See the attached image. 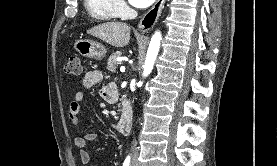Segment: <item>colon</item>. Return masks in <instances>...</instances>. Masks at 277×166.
<instances>
[{
	"mask_svg": "<svg viewBox=\"0 0 277 166\" xmlns=\"http://www.w3.org/2000/svg\"><path fill=\"white\" fill-rule=\"evenodd\" d=\"M65 72L78 76L82 73L81 60L78 55H72L65 64Z\"/></svg>",
	"mask_w": 277,
	"mask_h": 166,
	"instance_id": "5ec220e1",
	"label": "colon"
}]
</instances>
